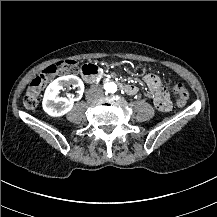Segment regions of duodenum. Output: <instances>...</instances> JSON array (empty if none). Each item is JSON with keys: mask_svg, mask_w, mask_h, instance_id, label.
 <instances>
[{"mask_svg": "<svg viewBox=\"0 0 217 217\" xmlns=\"http://www.w3.org/2000/svg\"><path fill=\"white\" fill-rule=\"evenodd\" d=\"M81 75L85 82L94 83L98 75V67L94 64L88 63L82 66ZM120 89L129 95L136 93L137 88L131 84H120Z\"/></svg>", "mask_w": 217, "mask_h": 217, "instance_id": "1", "label": "duodenum"}]
</instances>
